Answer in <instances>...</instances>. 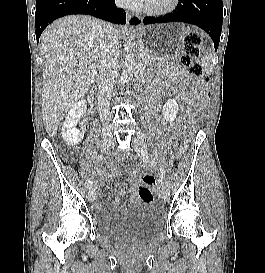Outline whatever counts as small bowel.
Returning a JSON list of instances; mask_svg holds the SVG:
<instances>
[{
  "instance_id": "c3829d8e",
  "label": "small bowel",
  "mask_w": 265,
  "mask_h": 273,
  "mask_svg": "<svg viewBox=\"0 0 265 273\" xmlns=\"http://www.w3.org/2000/svg\"><path fill=\"white\" fill-rule=\"evenodd\" d=\"M177 126H178V124L177 123H173V124H171V128L172 129H176L177 128ZM148 179L150 180V178L148 177ZM101 207V203L99 202V201H96V203H95V208H97V209H99Z\"/></svg>"
}]
</instances>
